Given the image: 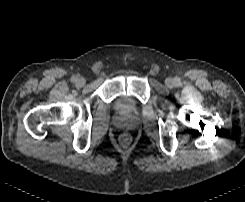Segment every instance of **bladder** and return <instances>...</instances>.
<instances>
[{
  "mask_svg": "<svg viewBox=\"0 0 245 202\" xmlns=\"http://www.w3.org/2000/svg\"><path fill=\"white\" fill-rule=\"evenodd\" d=\"M135 105L132 97L123 95L117 98L115 102V109L121 113L130 111V109Z\"/></svg>",
  "mask_w": 245,
  "mask_h": 202,
  "instance_id": "31cf9c89",
  "label": "bladder"
}]
</instances>
